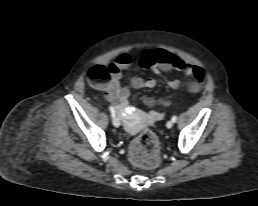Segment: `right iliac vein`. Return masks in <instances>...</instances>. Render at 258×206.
Returning a JSON list of instances; mask_svg holds the SVG:
<instances>
[{
	"label": "right iliac vein",
	"mask_w": 258,
	"mask_h": 206,
	"mask_svg": "<svg viewBox=\"0 0 258 206\" xmlns=\"http://www.w3.org/2000/svg\"><path fill=\"white\" fill-rule=\"evenodd\" d=\"M112 123L115 127H119L120 126V120L117 116L113 117Z\"/></svg>",
	"instance_id": "right-iliac-vein-1"
}]
</instances>
